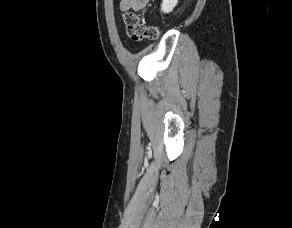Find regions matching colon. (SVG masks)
<instances>
[{"label":"colon","mask_w":292,"mask_h":228,"mask_svg":"<svg viewBox=\"0 0 292 228\" xmlns=\"http://www.w3.org/2000/svg\"><path fill=\"white\" fill-rule=\"evenodd\" d=\"M123 19L126 32L134 41L155 40L160 36L161 31L159 27L143 24L138 14L133 11L126 12Z\"/></svg>","instance_id":"1"}]
</instances>
